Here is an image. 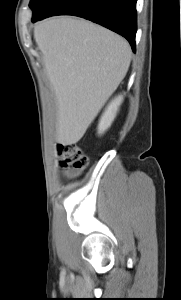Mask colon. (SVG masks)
I'll return each mask as SVG.
<instances>
[{
	"label": "colon",
	"mask_w": 181,
	"mask_h": 300,
	"mask_svg": "<svg viewBox=\"0 0 181 300\" xmlns=\"http://www.w3.org/2000/svg\"><path fill=\"white\" fill-rule=\"evenodd\" d=\"M57 152L60 157L59 165L67 169L71 174L83 171L88 164L87 156L82 149L75 144H59Z\"/></svg>",
	"instance_id": "1"
}]
</instances>
